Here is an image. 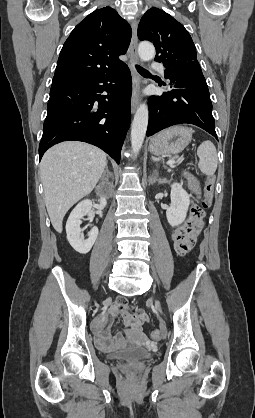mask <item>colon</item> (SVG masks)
I'll return each instance as SVG.
<instances>
[{"instance_id":"5ec220e1","label":"colon","mask_w":255,"mask_h":418,"mask_svg":"<svg viewBox=\"0 0 255 418\" xmlns=\"http://www.w3.org/2000/svg\"><path fill=\"white\" fill-rule=\"evenodd\" d=\"M215 189V178L213 176L206 180L204 187V199L202 205H194L190 210V215L187 221L180 228H198L199 233L203 227L204 210L209 208L213 201ZM176 250V249H175ZM191 250V249H190ZM152 339L158 340L161 338L159 331H153L151 334ZM125 371L129 374H134L136 369L134 366L125 367Z\"/></svg>"}]
</instances>
